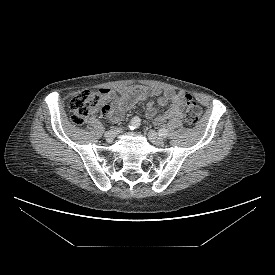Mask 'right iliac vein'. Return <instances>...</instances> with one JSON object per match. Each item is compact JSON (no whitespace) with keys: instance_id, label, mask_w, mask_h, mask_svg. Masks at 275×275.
Instances as JSON below:
<instances>
[{"instance_id":"63e3f726","label":"right iliac vein","mask_w":275,"mask_h":275,"mask_svg":"<svg viewBox=\"0 0 275 275\" xmlns=\"http://www.w3.org/2000/svg\"><path fill=\"white\" fill-rule=\"evenodd\" d=\"M119 132V129H111L105 133L104 137L107 141L111 142L114 140V138L118 135Z\"/></svg>"}]
</instances>
